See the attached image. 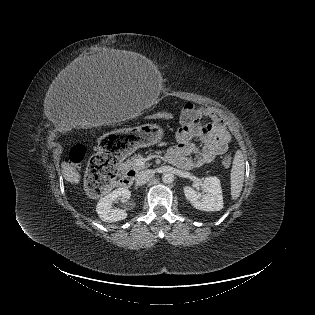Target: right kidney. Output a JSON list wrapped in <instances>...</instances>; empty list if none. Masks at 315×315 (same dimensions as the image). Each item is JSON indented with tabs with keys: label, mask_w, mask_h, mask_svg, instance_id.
<instances>
[{
	"label": "right kidney",
	"mask_w": 315,
	"mask_h": 315,
	"mask_svg": "<svg viewBox=\"0 0 315 315\" xmlns=\"http://www.w3.org/2000/svg\"><path fill=\"white\" fill-rule=\"evenodd\" d=\"M131 192L127 188H118L101 198L97 204L96 211L104 222H117L127 217L125 210L113 208L112 203L117 200H128Z\"/></svg>",
	"instance_id": "obj_1"
}]
</instances>
